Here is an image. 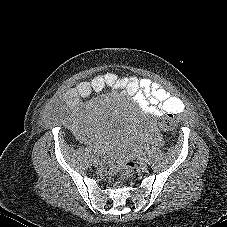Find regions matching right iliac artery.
Returning <instances> with one entry per match:
<instances>
[{"mask_svg": "<svg viewBox=\"0 0 227 227\" xmlns=\"http://www.w3.org/2000/svg\"><path fill=\"white\" fill-rule=\"evenodd\" d=\"M86 150L91 153V148L90 147H87ZM92 158H93V156H92Z\"/></svg>", "mask_w": 227, "mask_h": 227, "instance_id": "82829eb1", "label": "right iliac artery"}]
</instances>
